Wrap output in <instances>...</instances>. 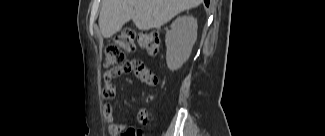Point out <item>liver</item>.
I'll return each instance as SVG.
<instances>
[{"label": "liver", "mask_w": 325, "mask_h": 136, "mask_svg": "<svg viewBox=\"0 0 325 136\" xmlns=\"http://www.w3.org/2000/svg\"><path fill=\"white\" fill-rule=\"evenodd\" d=\"M202 0H103L99 27L110 38L132 20L139 30L159 29L184 10L197 7Z\"/></svg>", "instance_id": "liver-1"}]
</instances>
